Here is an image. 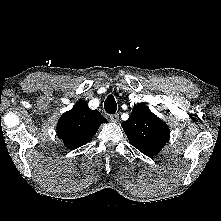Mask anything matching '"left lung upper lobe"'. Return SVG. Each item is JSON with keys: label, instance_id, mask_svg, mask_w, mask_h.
I'll use <instances>...</instances> for the list:
<instances>
[{"label": "left lung upper lobe", "instance_id": "5c2ea615", "mask_svg": "<svg viewBox=\"0 0 221 221\" xmlns=\"http://www.w3.org/2000/svg\"><path fill=\"white\" fill-rule=\"evenodd\" d=\"M122 127L129 142L146 156H154L169 140V128L144 103L134 105Z\"/></svg>", "mask_w": 221, "mask_h": 221}]
</instances>
